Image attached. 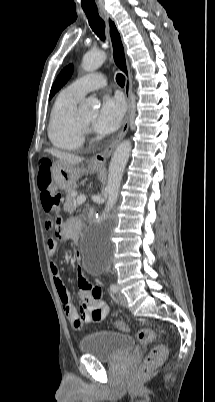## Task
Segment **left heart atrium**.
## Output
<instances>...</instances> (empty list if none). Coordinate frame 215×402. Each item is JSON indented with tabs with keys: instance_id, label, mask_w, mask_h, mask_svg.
Here are the masks:
<instances>
[{
	"instance_id": "left-heart-atrium-1",
	"label": "left heart atrium",
	"mask_w": 215,
	"mask_h": 402,
	"mask_svg": "<svg viewBox=\"0 0 215 402\" xmlns=\"http://www.w3.org/2000/svg\"><path fill=\"white\" fill-rule=\"evenodd\" d=\"M125 111L124 102L119 97L105 95L93 121V128L101 134H109L118 129Z\"/></svg>"
}]
</instances>
